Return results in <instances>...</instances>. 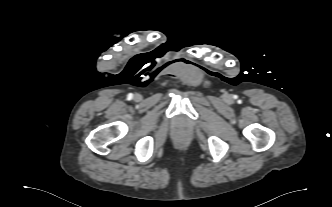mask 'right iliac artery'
Wrapping results in <instances>:
<instances>
[{
    "instance_id": "obj_1",
    "label": "right iliac artery",
    "mask_w": 332,
    "mask_h": 207,
    "mask_svg": "<svg viewBox=\"0 0 332 207\" xmlns=\"http://www.w3.org/2000/svg\"><path fill=\"white\" fill-rule=\"evenodd\" d=\"M132 98H133V94L132 93L128 94V99H132Z\"/></svg>"
}]
</instances>
